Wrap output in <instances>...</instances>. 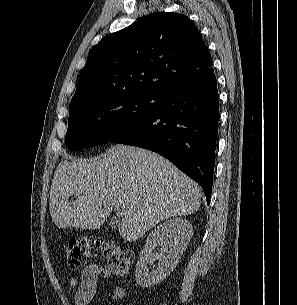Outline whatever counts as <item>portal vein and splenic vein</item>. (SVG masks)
<instances>
[{"instance_id":"obj_1","label":"portal vein and splenic vein","mask_w":297,"mask_h":305,"mask_svg":"<svg viewBox=\"0 0 297 305\" xmlns=\"http://www.w3.org/2000/svg\"><path fill=\"white\" fill-rule=\"evenodd\" d=\"M115 211H116V214L120 217L124 216L125 215V210L123 208V206L121 205H117L114 207Z\"/></svg>"}]
</instances>
